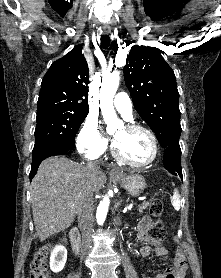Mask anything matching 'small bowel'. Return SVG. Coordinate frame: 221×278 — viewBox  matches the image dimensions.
I'll use <instances>...</instances> for the list:
<instances>
[{
  "label": "small bowel",
  "instance_id": "1",
  "mask_svg": "<svg viewBox=\"0 0 221 278\" xmlns=\"http://www.w3.org/2000/svg\"><path fill=\"white\" fill-rule=\"evenodd\" d=\"M151 224L149 216L145 215L141 218L137 227V240L143 245L139 249V254L143 257H147L152 253L151 247L148 245L149 237L148 230ZM155 254L158 257H165L168 253L164 246L158 245L154 249ZM187 270V264L185 255L182 251L177 250L175 253V270L173 272V278H185ZM154 278H168L166 273L157 274Z\"/></svg>",
  "mask_w": 221,
  "mask_h": 278
}]
</instances>
